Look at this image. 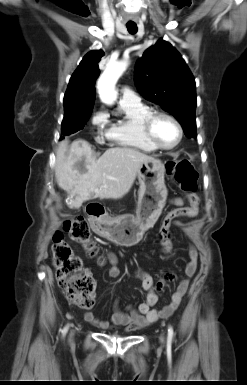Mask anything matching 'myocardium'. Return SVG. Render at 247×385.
I'll return each instance as SVG.
<instances>
[{
	"label": "myocardium",
	"mask_w": 247,
	"mask_h": 385,
	"mask_svg": "<svg viewBox=\"0 0 247 385\" xmlns=\"http://www.w3.org/2000/svg\"><path fill=\"white\" fill-rule=\"evenodd\" d=\"M160 117H164V118H167L170 121H172L178 130V133H179L178 140L172 146H163L162 144H160L157 141V139L154 135L153 125H154V122L156 121V119L160 118ZM142 128H143V132H144L146 138L150 141V143L153 146H155L157 149L165 150V151L175 149L181 143L183 136H184L183 127H182L181 123L178 121V119L176 117H174L173 115H171L167 112H164V111H151L144 118L143 123H142Z\"/></svg>",
	"instance_id": "f54148a6"
}]
</instances>
